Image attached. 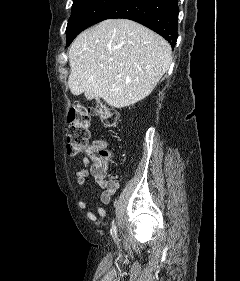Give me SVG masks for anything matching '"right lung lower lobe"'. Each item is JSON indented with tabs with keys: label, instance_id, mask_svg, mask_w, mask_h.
<instances>
[{
	"label": "right lung lower lobe",
	"instance_id": "right-lung-lower-lobe-1",
	"mask_svg": "<svg viewBox=\"0 0 240 281\" xmlns=\"http://www.w3.org/2000/svg\"><path fill=\"white\" fill-rule=\"evenodd\" d=\"M177 0H117L94 24L106 19L136 21L164 37L174 48L177 39Z\"/></svg>",
	"mask_w": 240,
	"mask_h": 281
}]
</instances>
